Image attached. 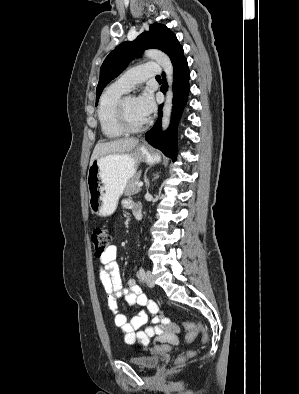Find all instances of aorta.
<instances>
[{"label":"aorta","mask_w":299,"mask_h":394,"mask_svg":"<svg viewBox=\"0 0 299 394\" xmlns=\"http://www.w3.org/2000/svg\"><path fill=\"white\" fill-rule=\"evenodd\" d=\"M145 56L152 60H155L164 70L168 83V91L166 92L165 103L163 106V118H162V129H167L170 116L172 111V100H173V65L170 58L162 51L151 49L145 52Z\"/></svg>","instance_id":"762f6f07"}]
</instances>
